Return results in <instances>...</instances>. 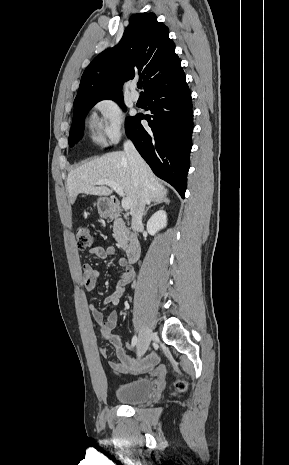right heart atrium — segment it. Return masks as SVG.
Returning a JSON list of instances; mask_svg holds the SVG:
<instances>
[{
    "mask_svg": "<svg viewBox=\"0 0 289 465\" xmlns=\"http://www.w3.org/2000/svg\"><path fill=\"white\" fill-rule=\"evenodd\" d=\"M101 114L99 129L102 139L108 143L118 142L125 133V116L120 104L112 98H105L96 103Z\"/></svg>",
    "mask_w": 289,
    "mask_h": 465,
    "instance_id": "obj_1",
    "label": "right heart atrium"
}]
</instances>
